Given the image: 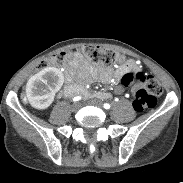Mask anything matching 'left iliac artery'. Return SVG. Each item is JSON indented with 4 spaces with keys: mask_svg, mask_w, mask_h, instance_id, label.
Returning a JSON list of instances; mask_svg holds the SVG:
<instances>
[{
    "mask_svg": "<svg viewBox=\"0 0 183 183\" xmlns=\"http://www.w3.org/2000/svg\"><path fill=\"white\" fill-rule=\"evenodd\" d=\"M103 106L105 109H110V107H111L110 104H108V103H105Z\"/></svg>",
    "mask_w": 183,
    "mask_h": 183,
    "instance_id": "44dca946",
    "label": "left iliac artery"
}]
</instances>
